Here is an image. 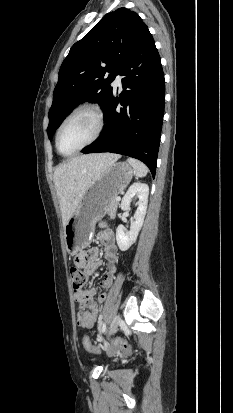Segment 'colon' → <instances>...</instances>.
Returning a JSON list of instances; mask_svg holds the SVG:
<instances>
[{
  "instance_id": "5ec220e1",
  "label": "colon",
  "mask_w": 233,
  "mask_h": 413,
  "mask_svg": "<svg viewBox=\"0 0 233 413\" xmlns=\"http://www.w3.org/2000/svg\"><path fill=\"white\" fill-rule=\"evenodd\" d=\"M70 275H71V281H72V286L74 291H80L87 280L86 274L81 271L78 267H72L70 269ZM115 347L118 348L119 350L129 353L130 352V346L127 344V342L123 340H117L114 343ZM83 347L85 350L88 352H96L97 348L95 345L92 344L90 338L88 336H85L83 338Z\"/></svg>"
}]
</instances>
